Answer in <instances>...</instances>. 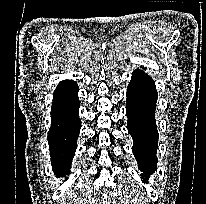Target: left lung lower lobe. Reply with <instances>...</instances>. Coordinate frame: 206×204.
Returning <instances> with one entry per match:
<instances>
[{
	"label": "left lung lower lobe",
	"mask_w": 206,
	"mask_h": 204,
	"mask_svg": "<svg viewBox=\"0 0 206 204\" xmlns=\"http://www.w3.org/2000/svg\"><path fill=\"white\" fill-rule=\"evenodd\" d=\"M157 91L155 82L141 70L132 73L127 87V128L133 139V154L139 169L147 177L156 170L158 162V131L155 119Z\"/></svg>",
	"instance_id": "left-lung-lower-lobe-1"
}]
</instances>
